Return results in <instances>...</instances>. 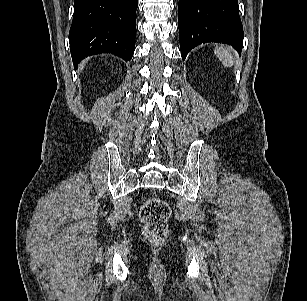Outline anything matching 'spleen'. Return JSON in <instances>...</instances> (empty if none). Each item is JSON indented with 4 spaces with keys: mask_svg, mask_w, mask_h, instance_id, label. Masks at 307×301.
<instances>
[{
    "mask_svg": "<svg viewBox=\"0 0 307 301\" xmlns=\"http://www.w3.org/2000/svg\"><path fill=\"white\" fill-rule=\"evenodd\" d=\"M215 55L219 58L225 67H232L234 57L232 51L227 47H216L214 50Z\"/></svg>",
    "mask_w": 307,
    "mask_h": 301,
    "instance_id": "3e777b00",
    "label": "spleen"
}]
</instances>
